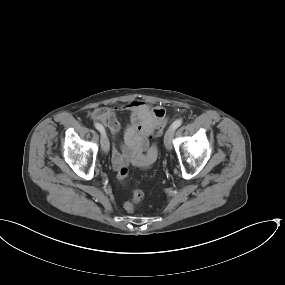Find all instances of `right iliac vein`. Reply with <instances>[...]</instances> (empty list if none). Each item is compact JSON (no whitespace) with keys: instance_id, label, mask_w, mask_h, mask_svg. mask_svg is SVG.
<instances>
[{"instance_id":"obj_1","label":"right iliac vein","mask_w":285,"mask_h":285,"mask_svg":"<svg viewBox=\"0 0 285 285\" xmlns=\"http://www.w3.org/2000/svg\"><path fill=\"white\" fill-rule=\"evenodd\" d=\"M101 147L104 153L109 151V139L105 132L101 133Z\"/></svg>"}]
</instances>
